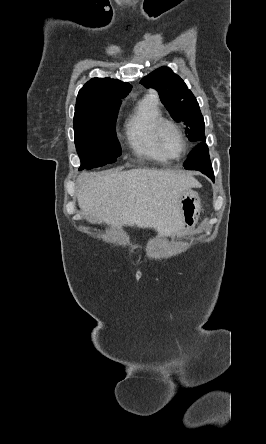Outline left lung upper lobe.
Here are the masks:
<instances>
[{"label":"left lung upper lobe","instance_id":"left-lung-upper-lobe-1","mask_svg":"<svg viewBox=\"0 0 266 444\" xmlns=\"http://www.w3.org/2000/svg\"><path fill=\"white\" fill-rule=\"evenodd\" d=\"M146 88H154L177 122L186 125L192 141H205L204 119L198 102L184 81L168 67H160L141 80Z\"/></svg>","mask_w":266,"mask_h":444}]
</instances>
